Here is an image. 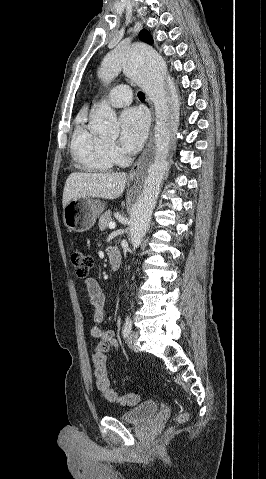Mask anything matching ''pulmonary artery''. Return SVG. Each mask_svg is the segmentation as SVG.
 <instances>
[{
    "mask_svg": "<svg viewBox=\"0 0 266 479\" xmlns=\"http://www.w3.org/2000/svg\"><path fill=\"white\" fill-rule=\"evenodd\" d=\"M132 90L128 85H117L108 94V101L114 107H124L130 104Z\"/></svg>",
    "mask_w": 266,
    "mask_h": 479,
    "instance_id": "e3ab8cb5",
    "label": "pulmonary artery"
}]
</instances>
